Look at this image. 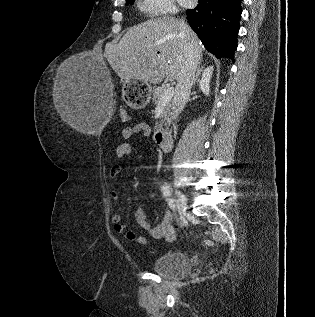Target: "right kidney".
<instances>
[{
  "instance_id": "obj_1",
  "label": "right kidney",
  "mask_w": 315,
  "mask_h": 317,
  "mask_svg": "<svg viewBox=\"0 0 315 317\" xmlns=\"http://www.w3.org/2000/svg\"><path fill=\"white\" fill-rule=\"evenodd\" d=\"M212 73H213V67L212 66L207 67L202 74L201 80L199 81V88L207 96L210 93V79H211Z\"/></svg>"
}]
</instances>
